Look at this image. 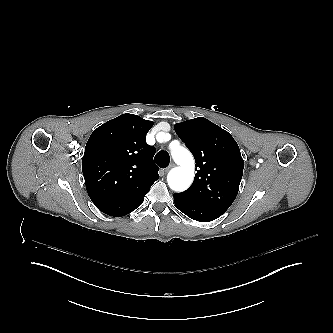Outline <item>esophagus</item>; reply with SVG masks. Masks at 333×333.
Wrapping results in <instances>:
<instances>
[{"label":"esophagus","mask_w":333,"mask_h":333,"mask_svg":"<svg viewBox=\"0 0 333 333\" xmlns=\"http://www.w3.org/2000/svg\"><path fill=\"white\" fill-rule=\"evenodd\" d=\"M175 166V164L172 162L165 170L164 172L167 173L170 169H172Z\"/></svg>","instance_id":"esophagus-1"}]
</instances>
